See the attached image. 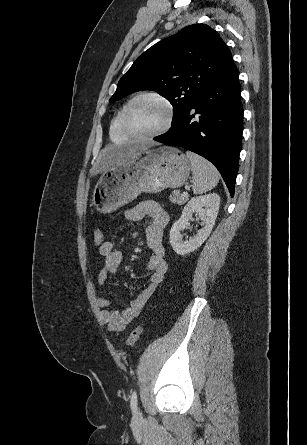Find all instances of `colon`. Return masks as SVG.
Returning <instances> with one entry per match:
<instances>
[{
  "instance_id": "colon-1",
  "label": "colon",
  "mask_w": 307,
  "mask_h": 445,
  "mask_svg": "<svg viewBox=\"0 0 307 445\" xmlns=\"http://www.w3.org/2000/svg\"><path fill=\"white\" fill-rule=\"evenodd\" d=\"M93 241L97 246H101L104 242V232L101 227H97L93 232ZM143 327L142 325L136 326L131 333L128 335L126 340V345L129 349L133 348L136 342L138 341L140 335L142 334Z\"/></svg>"
}]
</instances>
